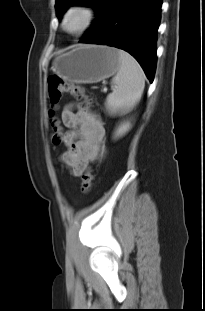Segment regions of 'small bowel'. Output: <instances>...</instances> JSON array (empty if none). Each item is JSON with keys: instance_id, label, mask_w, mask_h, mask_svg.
<instances>
[{"instance_id": "obj_1", "label": "small bowel", "mask_w": 205, "mask_h": 311, "mask_svg": "<svg viewBox=\"0 0 205 311\" xmlns=\"http://www.w3.org/2000/svg\"><path fill=\"white\" fill-rule=\"evenodd\" d=\"M62 122L68 130L64 138L67 149L60 160L74 176H80L91 163L104 156L105 128L95 113L81 107L75 109L73 104L64 108Z\"/></svg>"}]
</instances>
